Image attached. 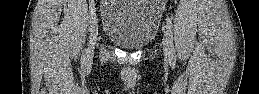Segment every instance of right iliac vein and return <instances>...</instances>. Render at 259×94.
<instances>
[{
  "mask_svg": "<svg viewBox=\"0 0 259 94\" xmlns=\"http://www.w3.org/2000/svg\"><path fill=\"white\" fill-rule=\"evenodd\" d=\"M97 37H98V24H97V21L95 20V22H94V24L91 28V33H90V38H89V46H88V49H87V60L88 61L93 58Z\"/></svg>",
  "mask_w": 259,
  "mask_h": 94,
  "instance_id": "1",
  "label": "right iliac vein"
}]
</instances>
